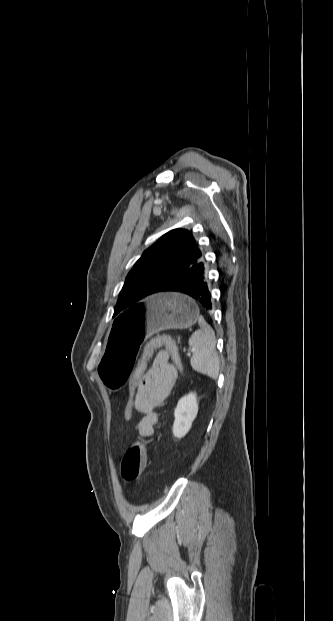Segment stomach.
Segmentation results:
<instances>
[{
	"label": "stomach",
	"mask_w": 333,
	"mask_h": 621,
	"mask_svg": "<svg viewBox=\"0 0 333 621\" xmlns=\"http://www.w3.org/2000/svg\"><path fill=\"white\" fill-rule=\"evenodd\" d=\"M196 304L176 293L151 296L120 315L109 330L98 372L108 391H123L137 367L144 338L164 329H185L200 319Z\"/></svg>",
	"instance_id": "0dacf381"
}]
</instances>
